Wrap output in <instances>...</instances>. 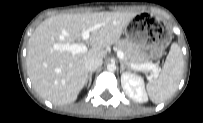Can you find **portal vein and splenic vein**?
Returning a JSON list of instances; mask_svg holds the SVG:
<instances>
[{"label": "portal vein and splenic vein", "mask_w": 203, "mask_h": 123, "mask_svg": "<svg viewBox=\"0 0 203 123\" xmlns=\"http://www.w3.org/2000/svg\"><path fill=\"white\" fill-rule=\"evenodd\" d=\"M98 26H94L91 27L87 30H84L82 32V39L83 41H86L89 39L90 37V32L94 31L95 29H97ZM56 49L59 50H66V51H70L73 54H77V53H83L87 51V47L85 45L84 42L81 43H74V44H66V45H57L55 46ZM117 57L120 60H124L125 55L122 51L118 50L117 51ZM130 68L137 70V71H148L151 70L153 72V76L157 77L158 76V65L156 64H152V63H144V64H129Z\"/></svg>", "instance_id": "portal-vein-and-splenic-vein-1"}]
</instances>
